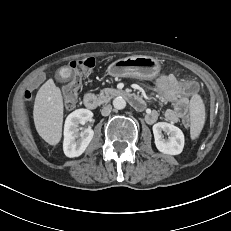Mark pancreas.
Listing matches in <instances>:
<instances>
[{
	"instance_id": "pancreas-1",
	"label": "pancreas",
	"mask_w": 231,
	"mask_h": 231,
	"mask_svg": "<svg viewBox=\"0 0 231 231\" xmlns=\"http://www.w3.org/2000/svg\"><path fill=\"white\" fill-rule=\"evenodd\" d=\"M112 90L111 89H104L100 92V94L98 95V99L100 103H105L108 102L111 99V95L110 92Z\"/></svg>"
}]
</instances>
